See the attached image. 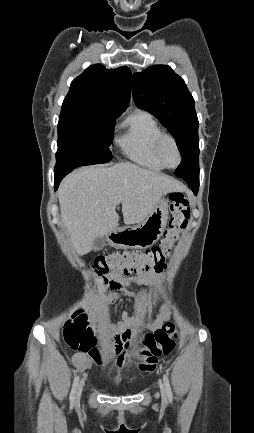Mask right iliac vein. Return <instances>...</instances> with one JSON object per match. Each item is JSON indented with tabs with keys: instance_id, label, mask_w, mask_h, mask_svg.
Segmentation results:
<instances>
[{
	"instance_id": "63e3f726",
	"label": "right iliac vein",
	"mask_w": 254,
	"mask_h": 433,
	"mask_svg": "<svg viewBox=\"0 0 254 433\" xmlns=\"http://www.w3.org/2000/svg\"><path fill=\"white\" fill-rule=\"evenodd\" d=\"M85 385V379H82L77 387L75 394V402L78 403L82 394L83 387Z\"/></svg>"
}]
</instances>
